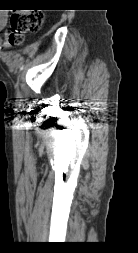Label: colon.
Masks as SVG:
<instances>
[{"mask_svg":"<svg viewBox=\"0 0 138 253\" xmlns=\"http://www.w3.org/2000/svg\"><path fill=\"white\" fill-rule=\"evenodd\" d=\"M42 25V17L39 13L16 12L11 15V32L8 42L19 43L25 34L38 30Z\"/></svg>","mask_w":138,"mask_h":253,"instance_id":"colon-1","label":"colon"}]
</instances>
